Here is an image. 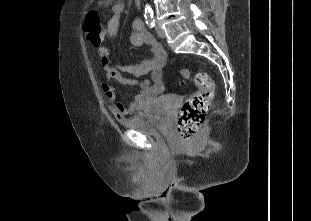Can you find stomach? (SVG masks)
<instances>
[{"label":"stomach","instance_id":"1","mask_svg":"<svg viewBox=\"0 0 311 221\" xmlns=\"http://www.w3.org/2000/svg\"><path fill=\"white\" fill-rule=\"evenodd\" d=\"M100 2H104V0H100Z\"/></svg>","mask_w":311,"mask_h":221}]
</instances>
